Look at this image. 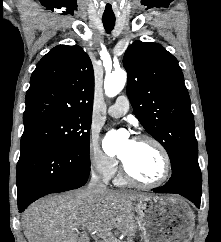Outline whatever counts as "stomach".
Masks as SVG:
<instances>
[{
  "label": "stomach",
  "instance_id": "1",
  "mask_svg": "<svg viewBox=\"0 0 221 242\" xmlns=\"http://www.w3.org/2000/svg\"><path fill=\"white\" fill-rule=\"evenodd\" d=\"M144 242H190L194 213L178 196L150 195L135 204Z\"/></svg>",
  "mask_w": 221,
  "mask_h": 242
}]
</instances>
